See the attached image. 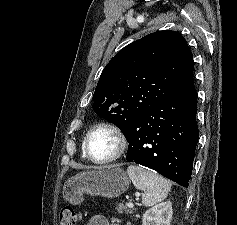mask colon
<instances>
[{
	"label": "colon",
	"instance_id": "obj_1",
	"mask_svg": "<svg viewBox=\"0 0 237 225\" xmlns=\"http://www.w3.org/2000/svg\"><path fill=\"white\" fill-rule=\"evenodd\" d=\"M77 213L71 206H64L60 211V225H75Z\"/></svg>",
	"mask_w": 237,
	"mask_h": 225
}]
</instances>
